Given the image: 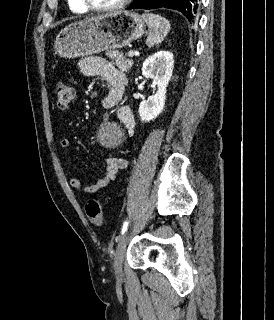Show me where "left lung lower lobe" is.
I'll return each mask as SVG.
<instances>
[{
  "mask_svg": "<svg viewBox=\"0 0 274 320\" xmlns=\"http://www.w3.org/2000/svg\"><path fill=\"white\" fill-rule=\"evenodd\" d=\"M200 0H134L127 9H156L169 8L180 11L188 21L197 18Z\"/></svg>",
  "mask_w": 274,
  "mask_h": 320,
  "instance_id": "obj_1",
  "label": "left lung lower lobe"
}]
</instances>
